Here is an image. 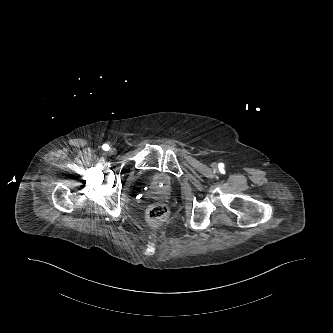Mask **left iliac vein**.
I'll list each match as a JSON object with an SVG mask.
<instances>
[{
    "instance_id": "obj_1",
    "label": "left iliac vein",
    "mask_w": 333,
    "mask_h": 333,
    "mask_svg": "<svg viewBox=\"0 0 333 333\" xmlns=\"http://www.w3.org/2000/svg\"><path fill=\"white\" fill-rule=\"evenodd\" d=\"M212 168H214V169L217 168V164H216V163H213V164H212Z\"/></svg>"
}]
</instances>
